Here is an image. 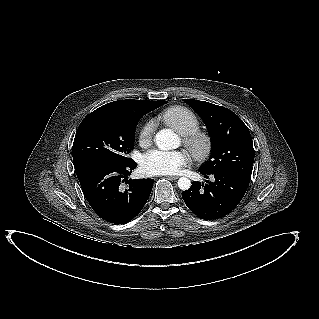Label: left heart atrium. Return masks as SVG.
I'll return each mask as SVG.
<instances>
[{
  "label": "left heart atrium",
  "mask_w": 319,
  "mask_h": 319,
  "mask_svg": "<svg viewBox=\"0 0 319 319\" xmlns=\"http://www.w3.org/2000/svg\"><path fill=\"white\" fill-rule=\"evenodd\" d=\"M187 162L183 151L150 150L140 160L141 171L148 176L177 173Z\"/></svg>",
  "instance_id": "1"
}]
</instances>
